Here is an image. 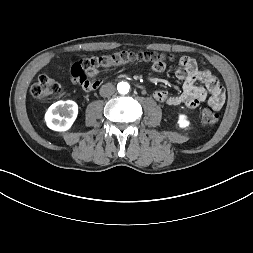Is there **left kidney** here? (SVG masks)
Masks as SVG:
<instances>
[{
    "label": "left kidney",
    "mask_w": 253,
    "mask_h": 253,
    "mask_svg": "<svg viewBox=\"0 0 253 253\" xmlns=\"http://www.w3.org/2000/svg\"><path fill=\"white\" fill-rule=\"evenodd\" d=\"M178 124L181 128H187L190 125V122L187 120L186 115L180 114Z\"/></svg>",
    "instance_id": "1"
}]
</instances>
